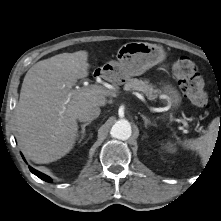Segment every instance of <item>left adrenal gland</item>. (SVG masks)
Returning <instances> with one entry per match:
<instances>
[{
	"mask_svg": "<svg viewBox=\"0 0 221 221\" xmlns=\"http://www.w3.org/2000/svg\"><path fill=\"white\" fill-rule=\"evenodd\" d=\"M140 116L143 118L146 128L148 125L156 126V124L151 122L145 115L141 114Z\"/></svg>",
	"mask_w": 221,
	"mask_h": 221,
	"instance_id": "1",
	"label": "left adrenal gland"
}]
</instances>
